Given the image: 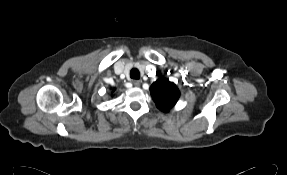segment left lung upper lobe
Instances as JSON below:
<instances>
[{"label":"left lung upper lobe","instance_id":"5c2ea615","mask_svg":"<svg viewBox=\"0 0 287 175\" xmlns=\"http://www.w3.org/2000/svg\"><path fill=\"white\" fill-rule=\"evenodd\" d=\"M150 91L156 106L163 112H168L176 104L180 95L177 86L164 77L155 81Z\"/></svg>","mask_w":287,"mask_h":175}]
</instances>
